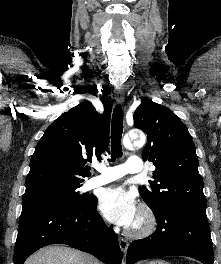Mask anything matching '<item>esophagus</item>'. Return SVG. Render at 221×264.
Listing matches in <instances>:
<instances>
[{
    "label": "esophagus",
    "mask_w": 221,
    "mask_h": 264,
    "mask_svg": "<svg viewBox=\"0 0 221 264\" xmlns=\"http://www.w3.org/2000/svg\"><path fill=\"white\" fill-rule=\"evenodd\" d=\"M114 94H115V99H116L117 103L122 104L124 102L123 91L121 89H118V90L114 91ZM118 241H119V246H120L121 250L125 253L128 249V246H129L128 240H126L123 237H119Z\"/></svg>",
    "instance_id": "esophagus-1"
}]
</instances>
